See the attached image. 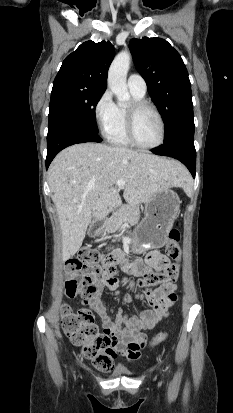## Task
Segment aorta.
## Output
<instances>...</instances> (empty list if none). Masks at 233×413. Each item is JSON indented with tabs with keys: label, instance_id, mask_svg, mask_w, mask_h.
I'll list each match as a JSON object with an SVG mask.
<instances>
[{
	"label": "aorta",
	"instance_id": "aorta-1",
	"mask_svg": "<svg viewBox=\"0 0 233 413\" xmlns=\"http://www.w3.org/2000/svg\"><path fill=\"white\" fill-rule=\"evenodd\" d=\"M130 60V53L122 51L114 58L108 71V87L116 95L119 102H125L130 99L126 84Z\"/></svg>",
	"mask_w": 233,
	"mask_h": 413
}]
</instances>
